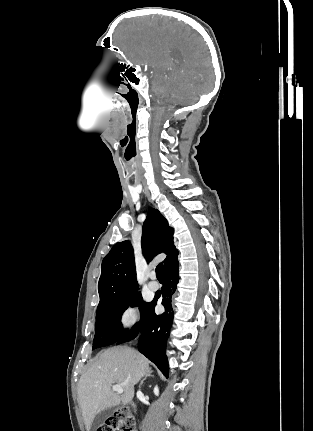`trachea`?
<instances>
[{"mask_svg": "<svg viewBox=\"0 0 313 431\" xmlns=\"http://www.w3.org/2000/svg\"><path fill=\"white\" fill-rule=\"evenodd\" d=\"M156 276L159 280H163L164 279V266L162 263H160L157 267H156Z\"/></svg>", "mask_w": 313, "mask_h": 431, "instance_id": "trachea-1", "label": "trachea"}]
</instances>
